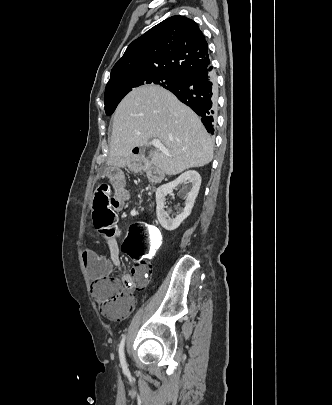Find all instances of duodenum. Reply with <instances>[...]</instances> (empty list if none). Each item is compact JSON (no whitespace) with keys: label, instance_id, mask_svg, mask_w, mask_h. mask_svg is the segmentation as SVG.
<instances>
[{"label":"duodenum","instance_id":"duodenum-1","mask_svg":"<svg viewBox=\"0 0 332 405\" xmlns=\"http://www.w3.org/2000/svg\"><path fill=\"white\" fill-rule=\"evenodd\" d=\"M152 178L155 182H160L162 180L158 174H152Z\"/></svg>","mask_w":332,"mask_h":405}]
</instances>
